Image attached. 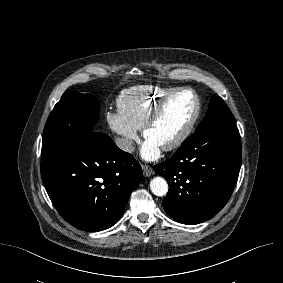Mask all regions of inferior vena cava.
<instances>
[{"label": "inferior vena cava", "instance_id": "602c4592", "mask_svg": "<svg viewBox=\"0 0 283 283\" xmlns=\"http://www.w3.org/2000/svg\"><path fill=\"white\" fill-rule=\"evenodd\" d=\"M115 143L123 151H126V152H133L134 151L133 141L130 140V139L116 138Z\"/></svg>", "mask_w": 283, "mask_h": 283}]
</instances>
